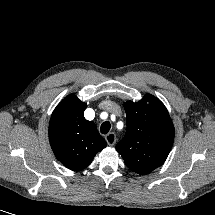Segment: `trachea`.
Instances as JSON below:
<instances>
[{"instance_id":"1","label":"trachea","mask_w":215,"mask_h":215,"mask_svg":"<svg viewBox=\"0 0 215 215\" xmlns=\"http://www.w3.org/2000/svg\"><path fill=\"white\" fill-rule=\"evenodd\" d=\"M110 127H111V125H110L109 121L103 122L102 125H101V133L102 134H107L109 132V130H110Z\"/></svg>"}]
</instances>
